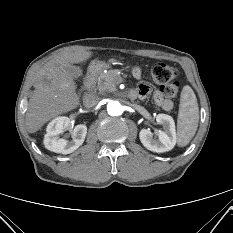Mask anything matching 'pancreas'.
I'll use <instances>...</instances> for the list:
<instances>
[{
    "mask_svg": "<svg viewBox=\"0 0 233 233\" xmlns=\"http://www.w3.org/2000/svg\"><path fill=\"white\" fill-rule=\"evenodd\" d=\"M121 79L118 70H109L96 77L97 89L101 94L115 91L116 83Z\"/></svg>",
    "mask_w": 233,
    "mask_h": 233,
    "instance_id": "1",
    "label": "pancreas"
}]
</instances>
